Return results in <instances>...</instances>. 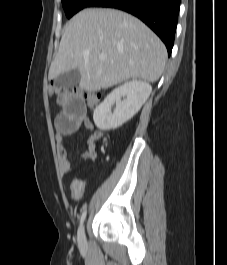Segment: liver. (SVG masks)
<instances>
[{
	"label": "liver",
	"mask_w": 227,
	"mask_h": 265,
	"mask_svg": "<svg viewBox=\"0 0 227 265\" xmlns=\"http://www.w3.org/2000/svg\"><path fill=\"white\" fill-rule=\"evenodd\" d=\"M102 53L104 60L99 59ZM166 60L165 45L136 17L114 9H85L65 25L48 79L78 69L79 87L88 92L129 79L153 83Z\"/></svg>",
	"instance_id": "obj_1"
}]
</instances>
